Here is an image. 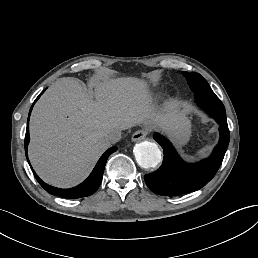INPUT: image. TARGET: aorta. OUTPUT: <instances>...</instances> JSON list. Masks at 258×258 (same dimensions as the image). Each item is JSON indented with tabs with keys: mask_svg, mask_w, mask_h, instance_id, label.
Returning a JSON list of instances; mask_svg holds the SVG:
<instances>
[{
	"mask_svg": "<svg viewBox=\"0 0 258 258\" xmlns=\"http://www.w3.org/2000/svg\"><path fill=\"white\" fill-rule=\"evenodd\" d=\"M134 155L137 163L144 169L156 167L161 159V150L154 142L143 141L134 147Z\"/></svg>",
	"mask_w": 258,
	"mask_h": 258,
	"instance_id": "obj_1",
	"label": "aorta"
}]
</instances>
